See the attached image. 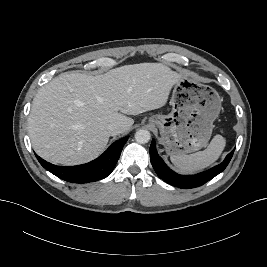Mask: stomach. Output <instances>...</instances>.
<instances>
[{"label":"stomach","mask_w":267,"mask_h":267,"mask_svg":"<svg viewBox=\"0 0 267 267\" xmlns=\"http://www.w3.org/2000/svg\"><path fill=\"white\" fill-rule=\"evenodd\" d=\"M168 115H153L149 122L160 130V141L169 155L195 152L210 140L222 98L211 86L184 74L174 85Z\"/></svg>","instance_id":"obj_1"}]
</instances>
